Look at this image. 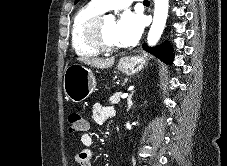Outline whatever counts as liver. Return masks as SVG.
<instances>
[{"label":"liver","mask_w":227,"mask_h":166,"mask_svg":"<svg viewBox=\"0 0 227 166\" xmlns=\"http://www.w3.org/2000/svg\"><path fill=\"white\" fill-rule=\"evenodd\" d=\"M81 63H84L88 66L95 67L98 69H107L113 66L115 59L114 57L111 58H97V57H80L77 59Z\"/></svg>","instance_id":"liver-1"}]
</instances>
